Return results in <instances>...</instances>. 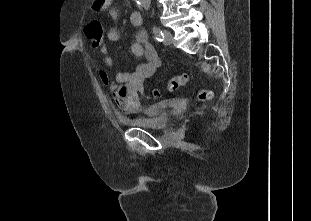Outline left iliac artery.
Wrapping results in <instances>:
<instances>
[{"mask_svg":"<svg viewBox=\"0 0 311 221\" xmlns=\"http://www.w3.org/2000/svg\"><path fill=\"white\" fill-rule=\"evenodd\" d=\"M153 32H154L155 39L159 42H162L164 38V34L162 30L156 25H153Z\"/></svg>","mask_w":311,"mask_h":221,"instance_id":"44dca946","label":"left iliac artery"}]
</instances>
